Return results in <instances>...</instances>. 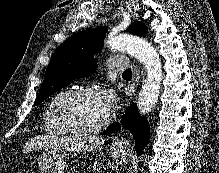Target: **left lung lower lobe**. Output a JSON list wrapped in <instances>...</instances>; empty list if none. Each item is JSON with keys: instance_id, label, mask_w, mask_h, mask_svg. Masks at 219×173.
<instances>
[{"instance_id": "obj_1", "label": "left lung lower lobe", "mask_w": 219, "mask_h": 173, "mask_svg": "<svg viewBox=\"0 0 219 173\" xmlns=\"http://www.w3.org/2000/svg\"><path fill=\"white\" fill-rule=\"evenodd\" d=\"M121 125L133 134L135 139V151L138 154H141L149 141L150 128L146 118L139 114L136 104L132 103L127 108L126 113L121 120ZM117 130H120V124L118 122L109 126L104 134L110 135Z\"/></svg>"}]
</instances>
